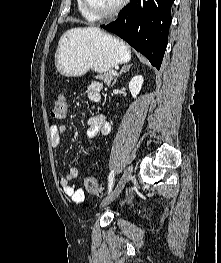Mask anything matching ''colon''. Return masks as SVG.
Here are the masks:
<instances>
[{
	"mask_svg": "<svg viewBox=\"0 0 221 263\" xmlns=\"http://www.w3.org/2000/svg\"><path fill=\"white\" fill-rule=\"evenodd\" d=\"M67 111V101L63 95H59L53 102L51 116L56 119L63 118ZM86 191L94 196L100 197L102 191L98 185L96 178L89 176L85 179Z\"/></svg>",
	"mask_w": 221,
	"mask_h": 263,
	"instance_id": "1",
	"label": "colon"
}]
</instances>
